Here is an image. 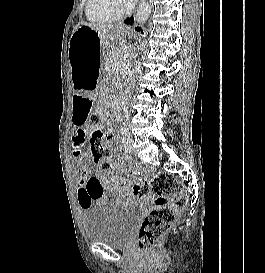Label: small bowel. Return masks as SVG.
I'll list each match as a JSON object with an SVG mask.
<instances>
[{
	"label": "small bowel",
	"mask_w": 265,
	"mask_h": 273,
	"mask_svg": "<svg viewBox=\"0 0 265 273\" xmlns=\"http://www.w3.org/2000/svg\"><path fill=\"white\" fill-rule=\"evenodd\" d=\"M73 103L70 119L71 124H78V129L71 139V155L78 173L80 187L77 200L80 208L85 210L93 205L112 204L110 193L119 201L125 199L128 187L126 178L114 173L110 178L105 177L97 165H91L95 161H91L86 153L85 136L92 127L81 124H86L87 112L92 108L90 98L88 95H73ZM90 170H94L93 173H89Z\"/></svg>",
	"instance_id": "small-bowel-1"
}]
</instances>
